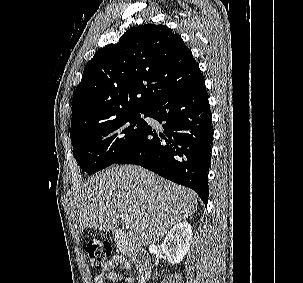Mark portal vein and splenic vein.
Masks as SVG:
<instances>
[{
  "mask_svg": "<svg viewBox=\"0 0 303 283\" xmlns=\"http://www.w3.org/2000/svg\"><path fill=\"white\" fill-rule=\"evenodd\" d=\"M121 219L126 226H129L132 222V218L127 215H123Z\"/></svg>",
  "mask_w": 303,
  "mask_h": 283,
  "instance_id": "obj_1",
  "label": "portal vein and splenic vein"
}]
</instances>
